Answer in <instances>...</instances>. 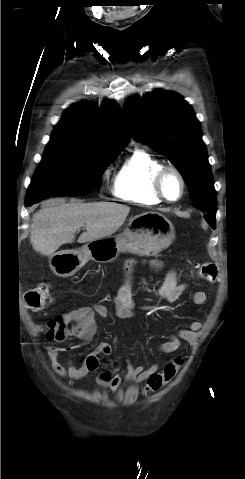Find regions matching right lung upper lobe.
<instances>
[{
	"mask_svg": "<svg viewBox=\"0 0 245 479\" xmlns=\"http://www.w3.org/2000/svg\"><path fill=\"white\" fill-rule=\"evenodd\" d=\"M52 137L79 141L91 148L120 151L131 139L122 113L111 101L100 113L86 103L71 106L54 128Z\"/></svg>",
	"mask_w": 245,
	"mask_h": 479,
	"instance_id": "right-lung-upper-lobe-1",
	"label": "right lung upper lobe"
}]
</instances>
